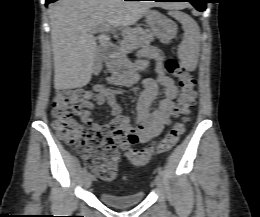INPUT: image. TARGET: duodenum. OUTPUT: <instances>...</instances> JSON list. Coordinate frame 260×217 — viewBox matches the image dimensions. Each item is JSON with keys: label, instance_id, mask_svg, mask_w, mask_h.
Listing matches in <instances>:
<instances>
[{"label": "duodenum", "instance_id": "410a0bca", "mask_svg": "<svg viewBox=\"0 0 260 217\" xmlns=\"http://www.w3.org/2000/svg\"><path fill=\"white\" fill-rule=\"evenodd\" d=\"M104 56L106 62L109 64L114 73L121 71L123 57L122 54L117 50L116 46H108L105 50Z\"/></svg>", "mask_w": 260, "mask_h": 217}]
</instances>
